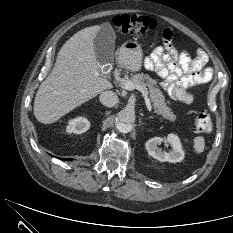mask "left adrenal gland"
Wrapping results in <instances>:
<instances>
[{"label": "left adrenal gland", "mask_w": 233, "mask_h": 233, "mask_svg": "<svg viewBox=\"0 0 233 233\" xmlns=\"http://www.w3.org/2000/svg\"><path fill=\"white\" fill-rule=\"evenodd\" d=\"M154 117H152V116H150V117H148V119H153Z\"/></svg>", "instance_id": "left-adrenal-gland-1"}]
</instances>
